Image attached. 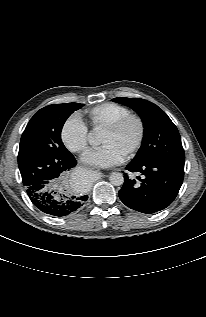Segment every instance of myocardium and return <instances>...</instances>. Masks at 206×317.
Wrapping results in <instances>:
<instances>
[{
  "label": "myocardium",
  "mask_w": 206,
  "mask_h": 317,
  "mask_svg": "<svg viewBox=\"0 0 206 317\" xmlns=\"http://www.w3.org/2000/svg\"><path fill=\"white\" fill-rule=\"evenodd\" d=\"M130 122H135L137 124L138 131L135 141L124 153L126 156L133 155L141 147L145 139L146 125L143 118L139 114L129 113L117 120L112 121L103 129L105 132H118Z\"/></svg>",
  "instance_id": "1"
}]
</instances>
